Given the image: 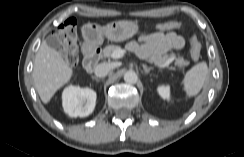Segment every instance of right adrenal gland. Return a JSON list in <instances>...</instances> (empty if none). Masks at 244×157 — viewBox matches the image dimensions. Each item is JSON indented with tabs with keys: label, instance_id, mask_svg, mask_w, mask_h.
I'll list each match as a JSON object with an SVG mask.
<instances>
[{
	"label": "right adrenal gland",
	"instance_id": "1",
	"mask_svg": "<svg viewBox=\"0 0 244 157\" xmlns=\"http://www.w3.org/2000/svg\"><path fill=\"white\" fill-rule=\"evenodd\" d=\"M92 79H94V80H96V81H100L101 79L100 78H98V77H96V76H92Z\"/></svg>",
	"mask_w": 244,
	"mask_h": 157
}]
</instances>
